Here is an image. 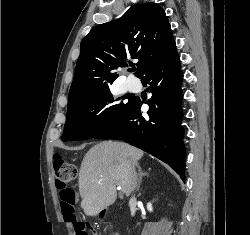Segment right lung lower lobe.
<instances>
[{"instance_id": "98d812e1", "label": "right lung lower lobe", "mask_w": 250, "mask_h": 235, "mask_svg": "<svg viewBox=\"0 0 250 235\" xmlns=\"http://www.w3.org/2000/svg\"><path fill=\"white\" fill-rule=\"evenodd\" d=\"M175 42L168 52L151 65L141 77L149 83L151 98L147 116L140 111L142 102L132 99L128 107L94 138L124 140L170 165L185 181L184 131L181 126L183 93Z\"/></svg>"}]
</instances>
